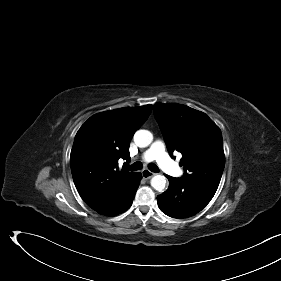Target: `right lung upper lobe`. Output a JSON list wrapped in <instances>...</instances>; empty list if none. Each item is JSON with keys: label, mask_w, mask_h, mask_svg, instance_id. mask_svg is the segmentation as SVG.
<instances>
[{"label": "right lung upper lobe", "mask_w": 281, "mask_h": 281, "mask_svg": "<svg viewBox=\"0 0 281 281\" xmlns=\"http://www.w3.org/2000/svg\"><path fill=\"white\" fill-rule=\"evenodd\" d=\"M152 106L97 113L79 129L70 163L75 186L84 202L99 214L119 209L134 185L137 172L127 171L120 158L130 160L134 132L147 120Z\"/></svg>", "instance_id": "cb5924a9"}]
</instances>
